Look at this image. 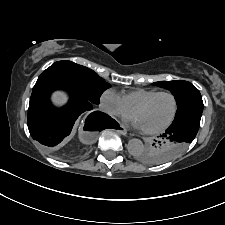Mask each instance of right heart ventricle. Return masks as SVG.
Segmentation results:
<instances>
[{
    "instance_id": "right-heart-ventricle-1",
    "label": "right heart ventricle",
    "mask_w": 225,
    "mask_h": 225,
    "mask_svg": "<svg viewBox=\"0 0 225 225\" xmlns=\"http://www.w3.org/2000/svg\"><path fill=\"white\" fill-rule=\"evenodd\" d=\"M159 92L156 89L139 88L122 95L126 106L133 111L134 108L151 95Z\"/></svg>"
}]
</instances>
